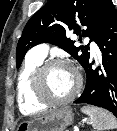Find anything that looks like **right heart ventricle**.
<instances>
[{
  "label": "right heart ventricle",
  "mask_w": 117,
  "mask_h": 131,
  "mask_svg": "<svg viewBox=\"0 0 117 131\" xmlns=\"http://www.w3.org/2000/svg\"><path fill=\"white\" fill-rule=\"evenodd\" d=\"M43 63V59L28 58L17 79V101L23 114H35L46 109V105L39 102L32 91V81L36 69Z\"/></svg>",
  "instance_id": "right-heart-ventricle-1"
}]
</instances>
